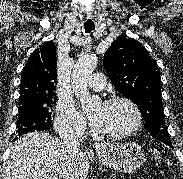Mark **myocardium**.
<instances>
[{
    "label": "myocardium",
    "instance_id": "1",
    "mask_svg": "<svg viewBox=\"0 0 183 179\" xmlns=\"http://www.w3.org/2000/svg\"><path fill=\"white\" fill-rule=\"evenodd\" d=\"M116 103H125L127 104L133 111L135 120L133 125L121 132H102L101 134L103 136L109 137V138H115V139H120V138H125L128 136H131L132 134L136 133L142 126L143 124V115L142 112L139 108V106L134 102L132 99L125 97V96H114L109 99H107L104 102V105H112Z\"/></svg>",
    "mask_w": 183,
    "mask_h": 179
}]
</instances>
